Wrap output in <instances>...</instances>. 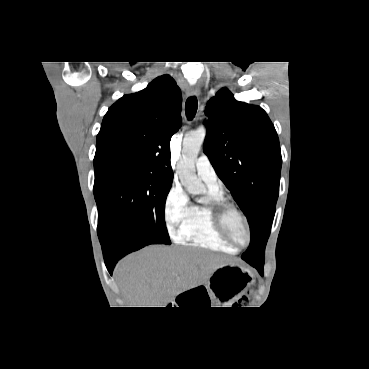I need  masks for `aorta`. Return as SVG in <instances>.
Returning a JSON list of instances; mask_svg holds the SVG:
<instances>
[{
    "label": "aorta",
    "instance_id": "aorta-1",
    "mask_svg": "<svg viewBox=\"0 0 369 369\" xmlns=\"http://www.w3.org/2000/svg\"><path fill=\"white\" fill-rule=\"evenodd\" d=\"M205 136L206 129L204 127H200L185 136L182 157L177 165V172L181 183L193 195L201 194L205 191V186L197 178L195 170V159L198 156Z\"/></svg>",
    "mask_w": 369,
    "mask_h": 369
}]
</instances>
